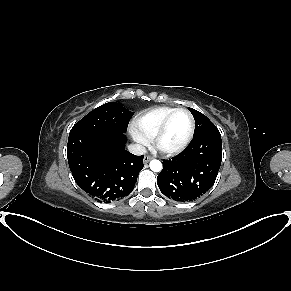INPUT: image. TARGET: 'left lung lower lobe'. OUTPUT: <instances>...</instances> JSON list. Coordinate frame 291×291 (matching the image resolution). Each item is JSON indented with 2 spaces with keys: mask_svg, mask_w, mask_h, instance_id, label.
I'll return each mask as SVG.
<instances>
[{
  "mask_svg": "<svg viewBox=\"0 0 291 291\" xmlns=\"http://www.w3.org/2000/svg\"><path fill=\"white\" fill-rule=\"evenodd\" d=\"M221 161L220 132H208L193 138L179 155L163 160L157 184L160 191L172 200L193 201L214 185Z\"/></svg>",
  "mask_w": 291,
  "mask_h": 291,
  "instance_id": "left-lung-lower-lobe-1",
  "label": "left lung lower lobe"
}]
</instances>
